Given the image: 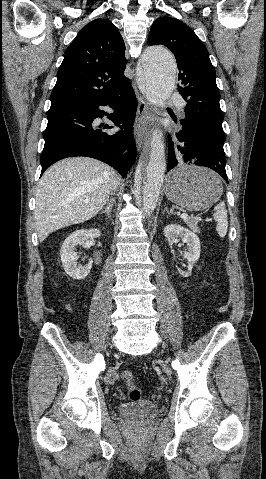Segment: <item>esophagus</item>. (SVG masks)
<instances>
[{
    "mask_svg": "<svg viewBox=\"0 0 266 479\" xmlns=\"http://www.w3.org/2000/svg\"><path fill=\"white\" fill-rule=\"evenodd\" d=\"M133 88L135 90L137 100H138V109L135 120V142L137 149L140 150L146 139V130H147V118L149 114V104L146 99L140 95L136 84L133 82Z\"/></svg>",
    "mask_w": 266,
    "mask_h": 479,
    "instance_id": "obj_1",
    "label": "esophagus"
}]
</instances>
